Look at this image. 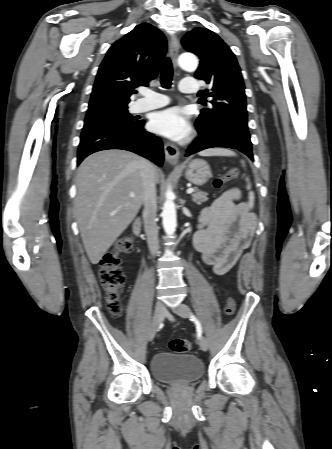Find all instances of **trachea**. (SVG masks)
Listing matches in <instances>:
<instances>
[{
    "instance_id": "obj_1",
    "label": "trachea",
    "mask_w": 332,
    "mask_h": 449,
    "mask_svg": "<svg viewBox=\"0 0 332 449\" xmlns=\"http://www.w3.org/2000/svg\"><path fill=\"white\" fill-rule=\"evenodd\" d=\"M172 77H173V68L172 63L169 58H167L164 62L161 76H160V82L161 86L163 88H170L172 84Z\"/></svg>"
}]
</instances>
